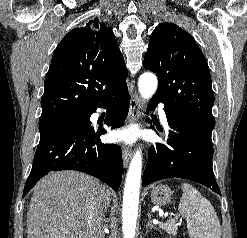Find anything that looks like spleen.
I'll return each mask as SVG.
<instances>
[{"instance_id": "spleen-1", "label": "spleen", "mask_w": 247, "mask_h": 238, "mask_svg": "<svg viewBox=\"0 0 247 238\" xmlns=\"http://www.w3.org/2000/svg\"><path fill=\"white\" fill-rule=\"evenodd\" d=\"M181 188L183 194L178 209L187 221L190 238H221L220 222L210 201L188 183Z\"/></svg>"}]
</instances>
